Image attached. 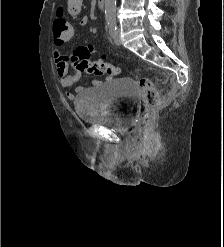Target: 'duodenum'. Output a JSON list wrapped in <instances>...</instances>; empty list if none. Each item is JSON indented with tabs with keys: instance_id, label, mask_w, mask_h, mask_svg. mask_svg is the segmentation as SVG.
<instances>
[{
	"instance_id": "duodenum-1",
	"label": "duodenum",
	"mask_w": 224,
	"mask_h": 247,
	"mask_svg": "<svg viewBox=\"0 0 224 247\" xmlns=\"http://www.w3.org/2000/svg\"><path fill=\"white\" fill-rule=\"evenodd\" d=\"M106 1L107 0H98V4H97L98 10H103L105 8Z\"/></svg>"
}]
</instances>
